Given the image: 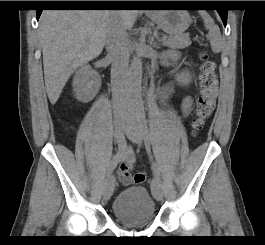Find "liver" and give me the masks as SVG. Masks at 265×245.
<instances>
[{
    "label": "liver",
    "mask_w": 265,
    "mask_h": 245,
    "mask_svg": "<svg viewBox=\"0 0 265 245\" xmlns=\"http://www.w3.org/2000/svg\"><path fill=\"white\" fill-rule=\"evenodd\" d=\"M115 14L125 29L134 25L137 12L109 10H45L39 20L46 92L55 104L73 71L98 57L106 30Z\"/></svg>",
    "instance_id": "1"
}]
</instances>
